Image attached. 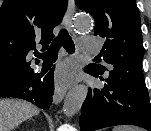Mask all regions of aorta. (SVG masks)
Instances as JSON below:
<instances>
[{
    "mask_svg": "<svg viewBox=\"0 0 151 131\" xmlns=\"http://www.w3.org/2000/svg\"><path fill=\"white\" fill-rule=\"evenodd\" d=\"M91 21L86 14L79 15L75 22L74 28L78 32H87L91 29ZM88 94V87L84 84L74 86L66 95L63 105L64 114L67 117H72L82 107V104Z\"/></svg>",
    "mask_w": 151,
    "mask_h": 131,
    "instance_id": "762f6f07",
    "label": "aorta"
}]
</instances>
